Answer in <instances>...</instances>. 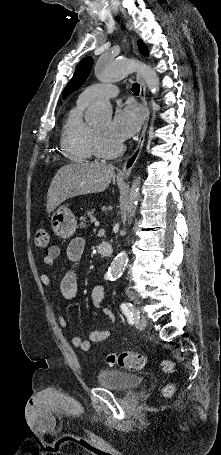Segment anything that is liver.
Masks as SVG:
<instances>
[{
    "label": "liver",
    "instance_id": "liver-1",
    "mask_svg": "<svg viewBox=\"0 0 221 455\" xmlns=\"http://www.w3.org/2000/svg\"><path fill=\"white\" fill-rule=\"evenodd\" d=\"M115 168L99 162L64 165L55 174L47 193V209L53 212L65 200L84 194L104 191Z\"/></svg>",
    "mask_w": 221,
    "mask_h": 455
}]
</instances>
